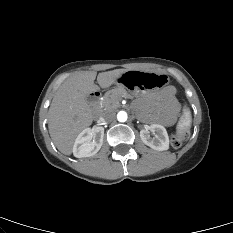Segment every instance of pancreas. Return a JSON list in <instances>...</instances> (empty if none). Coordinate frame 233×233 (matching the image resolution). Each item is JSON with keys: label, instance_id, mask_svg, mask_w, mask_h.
<instances>
[{"label": "pancreas", "instance_id": "1", "mask_svg": "<svg viewBox=\"0 0 233 233\" xmlns=\"http://www.w3.org/2000/svg\"><path fill=\"white\" fill-rule=\"evenodd\" d=\"M127 97L129 95L124 88L113 89L104 95L101 106L105 110H114L120 106L121 99Z\"/></svg>", "mask_w": 233, "mask_h": 233}]
</instances>
